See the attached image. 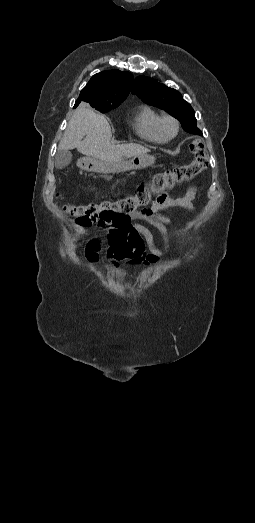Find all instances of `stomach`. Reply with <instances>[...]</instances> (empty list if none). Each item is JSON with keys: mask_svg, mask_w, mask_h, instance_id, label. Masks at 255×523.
<instances>
[{"mask_svg": "<svg viewBox=\"0 0 255 523\" xmlns=\"http://www.w3.org/2000/svg\"><path fill=\"white\" fill-rule=\"evenodd\" d=\"M154 160L152 156H134L132 160H129V162H125V164H122L121 168L117 165H112L109 168V173L112 176L119 175L120 172H123V170H142V168H147V166H151L153 164Z\"/></svg>", "mask_w": 255, "mask_h": 523, "instance_id": "obj_1", "label": "stomach"}]
</instances>
